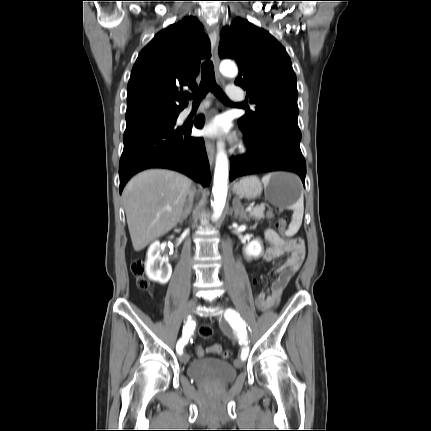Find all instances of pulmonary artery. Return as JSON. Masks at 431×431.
<instances>
[{"instance_id": "pulmonary-artery-1", "label": "pulmonary artery", "mask_w": 431, "mask_h": 431, "mask_svg": "<svg viewBox=\"0 0 431 431\" xmlns=\"http://www.w3.org/2000/svg\"><path fill=\"white\" fill-rule=\"evenodd\" d=\"M227 97L232 101H242L244 99L243 91L235 85H228L226 87ZM193 110L188 108L185 112L190 113Z\"/></svg>"}]
</instances>
